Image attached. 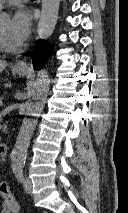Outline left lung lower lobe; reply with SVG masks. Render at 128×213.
<instances>
[{
	"label": "left lung lower lobe",
	"mask_w": 128,
	"mask_h": 213,
	"mask_svg": "<svg viewBox=\"0 0 128 213\" xmlns=\"http://www.w3.org/2000/svg\"><path fill=\"white\" fill-rule=\"evenodd\" d=\"M50 47L46 45V42L44 40H39L36 44L34 51L32 53L33 55V63L35 66V69H40L46 62V58L48 57V49ZM25 56H29L30 52L24 54Z\"/></svg>",
	"instance_id": "obj_1"
}]
</instances>
